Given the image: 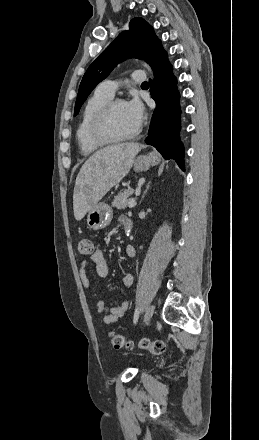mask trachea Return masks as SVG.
I'll use <instances>...</instances> for the list:
<instances>
[{"label": "trachea", "instance_id": "1", "mask_svg": "<svg viewBox=\"0 0 259 440\" xmlns=\"http://www.w3.org/2000/svg\"><path fill=\"white\" fill-rule=\"evenodd\" d=\"M142 85L145 86V85H148V83H147V82H144V83H142Z\"/></svg>", "mask_w": 259, "mask_h": 440}]
</instances>
